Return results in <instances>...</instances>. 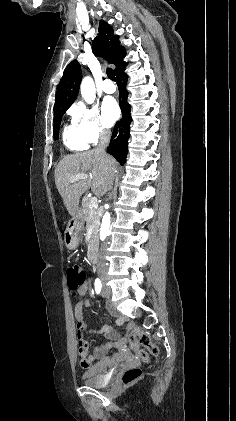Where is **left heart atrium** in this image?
Returning a JSON list of instances; mask_svg holds the SVG:
<instances>
[{
    "instance_id": "obj_1",
    "label": "left heart atrium",
    "mask_w": 236,
    "mask_h": 421,
    "mask_svg": "<svg viewBox=\"0 0 236 421\" xmlns=\"http://www.w3.org/2000/svg\"><path fill=\"white\" fill-rule=\"evenodd\" d=\"M105 121L108 125L114 124L120 117V108L112 97L104 99L102 104Z\"/></svg>"
}]
</instances>
